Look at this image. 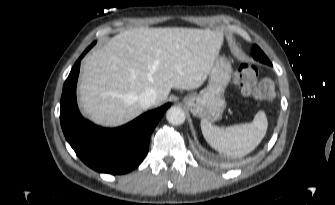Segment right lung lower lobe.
I'll return each instance as SVG.
<instances>
[{
	"mask_svg": "<svg viewBox=\"0 0 335 205\" xmlns=\"http://www.w3.org/2000/svg\"><path fill=\"white\" fill-rule=\"evenodd\" d=\"M91 47L75 62L64 83L60 102L61 127L65 138L87 166L98 172L124 174L145 158L150 135L171 104L167 103L113 129L101 128L85 120L77 107L76 84L80 61Z\"/></svg>",
	"mask_w": 335,
	"mask_h": 205,
	"instance_id": "1",
	"label": "right lung lower lobe"
}]
</instances>
